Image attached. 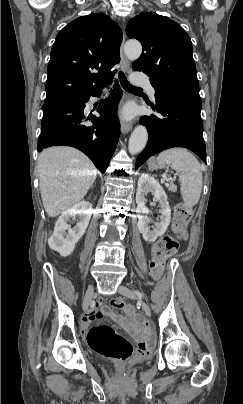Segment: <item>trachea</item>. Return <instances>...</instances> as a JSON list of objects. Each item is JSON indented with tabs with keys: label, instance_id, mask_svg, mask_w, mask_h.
Instances as JSON below:
<instances>
[{
	"label": "trachea",
	"instance_id": "trachea-1",
	"mask_svg": "<svg viewBox=\"0 0 243 404\" xmlns=\"http://www.w3.org/2000/svg\"><path fill=\"white\" fill-rule=\"evenodd\" d=\"M119 81L124 90H141L140 87H134V85H131L123 72H119Z\"/></svg>",
	"mask_w": 243,
	"mask_h": 404
}]
</instances>
